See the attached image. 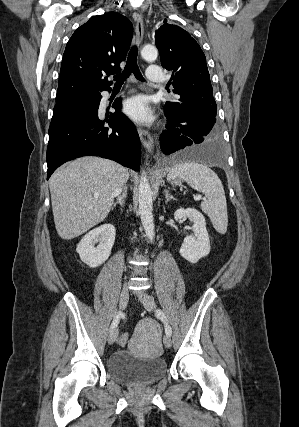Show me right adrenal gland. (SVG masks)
Instances as JSON below:
<instances>
[{
    "label": "right adrenal gland",
    "mask_w": 299,
    "mask_h": 427,
    "mask_svg": "<svg viewBox=\"0 0 299 427\" xmlns=\"http://www.w3.org/2000/svg\"><path fill=\"white\" fill-rule=\"evenodd\" d=\"M126 196H127V192H126V191H123V192H122V193L117 197V200H116V202H114V204H113V206H112V209H114V208L116 207V205H117V204H119L121 207H124Z\"/></svg>",
    "instance_id": "obj_1"
}]
</instances>
